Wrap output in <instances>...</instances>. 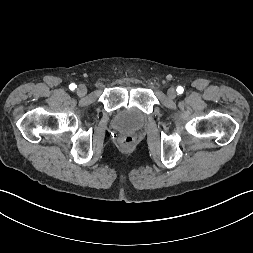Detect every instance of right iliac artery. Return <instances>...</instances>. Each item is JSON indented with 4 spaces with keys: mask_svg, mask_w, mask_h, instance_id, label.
Wrapping results in <instances>:
<instances>
[{
    "mask_svg": "<svg viewBox=\"0 0 253 253\" xmlns=\"http://www.w3.org/2000/svg\"><path fill=\"white\" fill-rule=\"evenodd\" d=\"M76 87L77 86L74 83H72V84L69 85L70 90H75Z\"/></svg>",
    "mask_w": 253,
    "mask_h": 253,
    "instance_id": "obj_1",
    "label": "right iliac artery"
}]
</instances>
